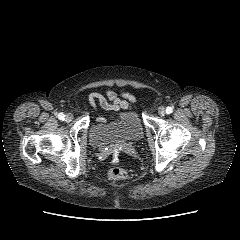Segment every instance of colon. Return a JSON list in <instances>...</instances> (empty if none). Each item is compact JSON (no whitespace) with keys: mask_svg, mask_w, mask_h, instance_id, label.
Returning <instances> with one entry per match:
<instances>
[{"mask_svg":"<svg viewBox=\"0 0 240 240\" xmlns=\"http://www.w3.org/2000/svg\"><path fill=\"white\" fill-rule=\"evenodd\" d=\"M107 175L109 179L113 181H124L129 177L128 172L124 168L118 166L110 167L107 171Z\"/></svg>","mask_w":240,"mask_h":240,"instance_id":"1","label":"colon"}]
</instances>
